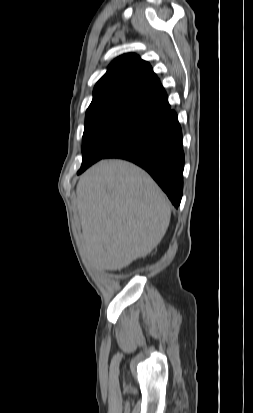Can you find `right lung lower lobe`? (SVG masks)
<instances>
[{
    "instance_id": "98d812e1",
    "label": "right lung lower lobe",
    "mask_w": 253,
    "mask_h": 413,
    "mask_svg": "<svg viewBox=\"0 0 253 413\" xmlns=\"http://www.w3.org/2000/svg\"><path fill=\"white\" fill-rule=\"evenodd\" d=\"M104 158L125 159L145 169L178 208L183 190L184 152L175 111H169L156 125Z\"/></svg>"
}]
</instances>
